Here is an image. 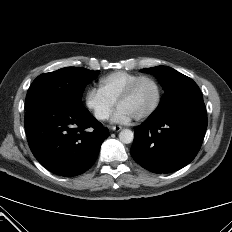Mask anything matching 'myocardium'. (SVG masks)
I'll return each mask as SVG.
<instances>
[{
    "label": "myocardium",
    "mask_w": 232,
    "mask_h": 232,
    "mask_svg": "<svg viewBox=\"0 0 232 232\" xmlns=\"http://www.w3.org/2000/svg\"><path fill=\"white\" fill-rule=\"evenodd\" d=\"M151 81L155 88H156V99L152 105V107L146 111L144 114L135 117L136 120H145L149 117H151L158 109L160 103H161V99H162V89L161 86L159 84V82L152 76L150 75H141L139 76L137 79H135L129 86L128 88L123 92V94L118 98V100L116 101V105L119 107L121 103H123L124 101L128 100L129 98L132 97V95L134 94L136 88L138 87V85L142 82V81Z\"/></svg>",
    "instance_id": "f54148a6"
}]
</instances>
